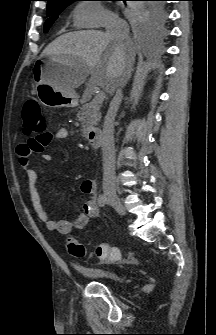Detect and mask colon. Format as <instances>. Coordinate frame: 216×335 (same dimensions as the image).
<instances>
[{"instance_id": "1", "label": "colon", "mask_w": 216, "mask_h": 335, "mask_svg": "<svg viewBox=\"0 0 216 335\" xmlns=\"http://www.w3.org/2000/svg\"><path fill=\"white\" fill-rule=\"evenodd\" d=\"M22 130L28 135L35 134L28 144L33 151H42L49 140L50 133L47 131V121L41 113L40 105L35 99H29L23 105ZM66 246L69 253L75 258H84L87 254L84 245L74 237H68ZM95 255L100 259L117 261L121 258V251L117 247H109L102 243L95 247Z\"/></svg>"}]
</instances>
